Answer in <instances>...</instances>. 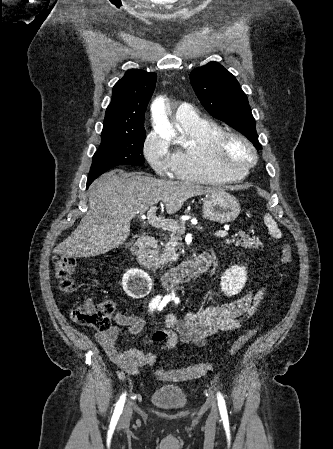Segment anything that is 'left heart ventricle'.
<instances>
[{
  "label": "left heart ventricle",
  "instance_id": "left-heart-ventricle-1",
  "mask_svg": "<svg viewBox=\"0 0 333 449\" xmlns=\"http://www.w3.org/2000/svg\"><path fill=\"white\" fill-rule=\"evenodd\" d=\"M248 152L246 149H244L242 146L238 144H233L230 147V152L228 156V163L230 165H238L241 162L248 159Z\"/></svg>",
  "mask_w": 333,
  "mask_h": 449
}]
</instances>
